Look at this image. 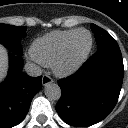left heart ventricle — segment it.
Masks as SVG:
<instances>
[{
    "instance_id": "obj_1",
    "label": "left heart ventricle",
    "mask_w": 128,
    "mask_h": 128,
    "mask_svg": "<svg viewBox=\"0 0 128 128\" xmlns=\"http://www.w3.org/2000/svg\"><path fill=\"white\" fill-rule=\"evenodd\" d=\"M89 42L90 39L87 33L81 32L76 35L69 51V59L71 62H74L83 55L89 45Z\"/></svg>"
}]
</instances>
